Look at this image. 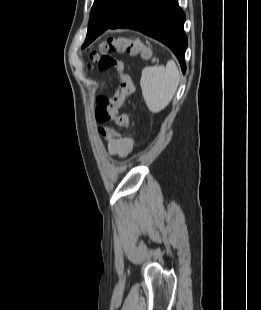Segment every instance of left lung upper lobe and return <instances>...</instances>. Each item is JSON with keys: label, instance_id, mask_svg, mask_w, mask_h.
Here are the masks:
<instances>
[{"label": "left lung upper lobe", "instance_id": "left-lung-upper-lobe-1", "mask_svg": "<svg viewBox=\"0 0 261 310\" xmlns=\"http://www.w3.org/2000/svg\"><path fill=\"white\" fill-rule=\"evenodd\" d=\"M123 0H94L91 8L89 23L109 22L118 12Z\"/></svg>", "mask_w": 261, "mask_h": 310}]
</instances>
